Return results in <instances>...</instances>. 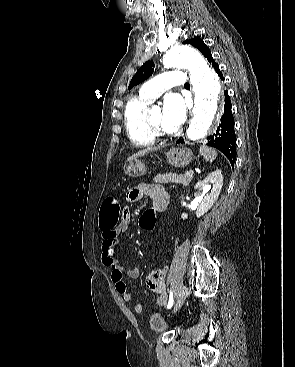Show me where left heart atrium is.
I'll list each match as a JSON object with an SVG mask.
<instances>
[{
  "label": "left heart atrium",
  "instance_id": "obj_1",
  "mask_svg": "<svg viewBox=\"0 0 295 367\" xmlns=\"http://www.w3.org/2000/svg\"><path fill=\"white\" fill-rule=\"evenodd\" d=\"M187 103L177 94L171 93L164 98L162 110V126L167 131H175L185 120Z\"/></svg>",
  "mask_w": 295,
  "mask_h": 367
}]
</instances>
